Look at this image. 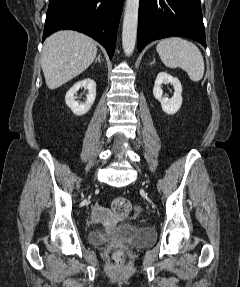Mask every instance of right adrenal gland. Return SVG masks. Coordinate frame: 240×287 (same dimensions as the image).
<instances>
[{
    "mask_svg": "<svg viewBox=\"0 0 240 287\" xmlns=\"http://www.w3.org/2000/svg\"><path fill=\"white\" fill-rule=\"evenodd\" d=\"M100 58H101V54L98 55V57H97L96 60H95V63H96L97 61L100 63V62H101V59H100Z\"/></svg>",
    "mask_w": 240,
    "mask_h": 287,
    "instance_id": "1",
    "label": "right adrenal gland"
}]
</instances>
